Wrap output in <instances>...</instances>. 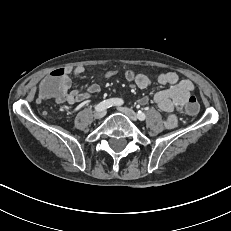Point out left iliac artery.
Masks as SVG:
<instances>
[{"mask_svg":"<svg viewBox=\"0 0 231 231\" xmlns=\"http://www.w3.org/2000/svg\"><path fill=\"white\" fill-rule=\"evenodd\" d=\"M137 118H138L139 120L143 121V120H145L146 115L144 114V112L138 111V112H137Z\"/></svg>","mask_w":231,"mask_h":231,"instance_id":"obj_1","label":"left iliac artery"}]
</instances>
